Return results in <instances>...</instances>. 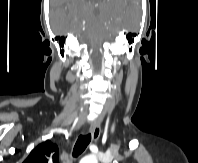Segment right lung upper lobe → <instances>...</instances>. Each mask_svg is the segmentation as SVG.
Returning a JSON list of instances; mask_svg holds the SVG:
<instances>
[{
  "label": "right lung upper lobe",
  "mask_w": 198,
  "mask_h": 163,
  "mask_svg": "<svg viewBox=\"0 0 198 163\" xmlns=\"http://www.w3.org/2000/svg\"><path fill=\"white\" fill-rule=\"evenodd\" d=\"M23 163H59V149L47 140L33 149Z\"/></svg>",
  "instance_id": "right-lung-upper-lobe-1"
}]
</instances>
